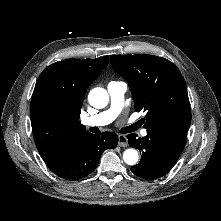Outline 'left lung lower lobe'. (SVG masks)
I'll return each instance as SVG.
<instances>
[{
  "label": "left lung lower lobe",
  "mask_w": 221,
  "mask_h": 221,
  "mask_svg": "<svg viewBox=\"0 0 221 221\" xmlns=\"http://www.w3.org/2000/svg\"><path fill=\"white\" fill-rule=\"evenodd\" d=\"M187 132L174 129H147V136L137 138L135 133L127 136L131 147L142 153L140 162L131 168L138 177L153 180L167 174L180 157Z\"/></svg>",
  "instance_id": "0a47b994"
}]
</instances>
